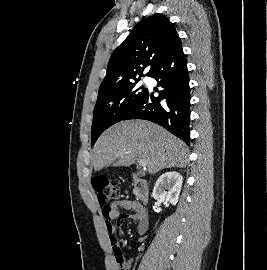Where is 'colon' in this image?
I'll return each instance as SVG.
<instances>
[{
	"label": "colon",
	"instance_id": "obj_1",
	"mask_svg": "<svg viewBox=\"0 0 267 270\" xmlns=\"http://www.w3.org/2000/svg\"><path fill=\"white\" fill-rule=\"evenodd\" d=\"M92 185L101 204H106L109 201L118 198L120 195L119 187L107 177H96L93 180ZM114 254L120 270H126V261L122 249L117 245V240L114 246Z\"/></svg>",
	"mask_w": 267,
	"mask_h": 270
}]
</instances>
